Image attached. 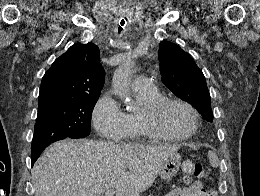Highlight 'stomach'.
I'll list each match as a JSON object with an SVG mask.
<instances>
[{"label":"stomach","instance_id":"0dacf381","mask_svg":"<svg viewBox=\"0 0 260 196\" xmlns=\"http://www.w3.org/2000/svg\"><path fill=\"white\" fill-rule=\"evenodd\" d=\"M180 162L181 158L179 154H173V156L167 158L159 172L160 178H162V180H167V182H171L179 170Z\"/></svg>","mask_w":260,"mask_h":196}]
</instances>
